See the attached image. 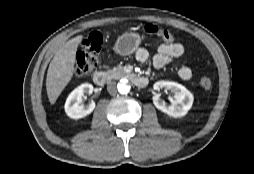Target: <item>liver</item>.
Listing matches in <instances>:
<instances>
[{
  "label": "liver",
  "instance_id": "1",
  "mask_svg": "<svg viewBox=\"0 0 254 174\" xmlns=\"http://www.w3.org/2000/svg\"><path fill=\"white\" fill-rule=\"evenodd\" d=\"M82 39L83 36L79 35L64 43L56 51L50 62L47 71L46 90L52 105L73 77L76 62L75 54Z\"/></svg>",
  "mask_w": 254,
  "mask_h": 174
}]
</instances>
